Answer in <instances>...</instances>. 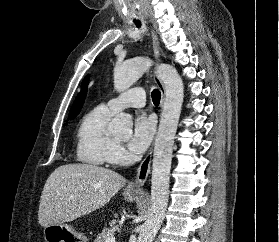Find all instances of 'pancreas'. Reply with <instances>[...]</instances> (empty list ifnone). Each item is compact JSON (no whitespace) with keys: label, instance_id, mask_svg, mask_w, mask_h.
Wrapping results in <instances>:
<instances>
[{"label":"pancreas","instance_id":"obj_1","mask_svg":"<svg viewBox=\"0 0 279 242\" xmlns=\"http://www.w3.org/2000/svg\"><path fill=\"white\" fill-rule=\"evenodd\" d=\"M115 230L116 229L114 227L103 229V231L97 235L94 242H106V239L108 237L112 236L114 234Z\"/></svg>","mask_w":279,"mask_h":242}]
</instances>
